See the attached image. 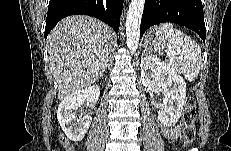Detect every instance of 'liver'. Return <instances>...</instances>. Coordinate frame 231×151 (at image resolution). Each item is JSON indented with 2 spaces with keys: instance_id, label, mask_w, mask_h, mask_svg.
Segmentation results:
<instances>
[{
  "instance_id": "obj_1",
  "label": "liver",
  "mask_w": 231,
  "mask_h": 151,
  "mask_svg": "<svg viewBox=\"0 0 231 151\" xmlns=\"http://www.w3.org/2000/svg\"><path fill=\"white\" fill-rule=\"evenodd\" d=\"M112 30L89 16L62 19L47 37L48 60L58 84V99L102 77Z\"/></svg>"
}]
</instances>
